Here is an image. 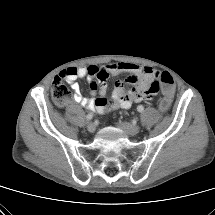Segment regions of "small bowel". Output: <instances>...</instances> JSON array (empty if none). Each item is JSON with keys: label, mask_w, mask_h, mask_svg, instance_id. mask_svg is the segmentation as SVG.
I'll list each match as a JSON object with an SVG mask.
<instances>
[{"label": "small bowel", "mask_w": 215, "mask_h": 215, "mask_svg": "<svg viewBox=\"0 0 215 215\" xmlns=\"http://www.w3.org/2000/svg\"><path fill=\"white\" fill-rule=\"evenodd\" d=\"M128 73L127 82L134 87L125 89L121 82L116 83L112 98L107 99V80L110 75ZM73 90L74 102L97 113H106L114 109H128L134 103L151 100L155 93L146 94L153 84L154 69L132 62H118L98 67H69L60 73ZM86 78L91 86L92 97H83L78 79ZM98 95V97L96 96Z\"/></svg>", "instance_id": "c3829d8e"}]
</instances>
